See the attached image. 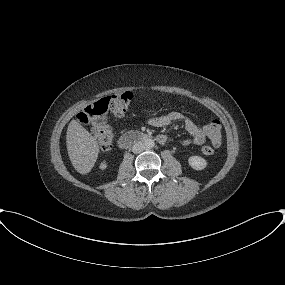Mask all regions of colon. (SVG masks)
Instances as JSON below:
<instances>
[{
	"instance_id": "5ec220e1",
	"label": "colon",
	"mask_w": 285,
	"mask_h": 285,
	"mask_svg": "<svg viewBox=\"0 0 285 285\" xmlns=\"http://www.w3.org/2000/svg\"><path fill=\"white\" fill-rule=\"evenodd\" d=\"M132 98L133 95L130 92L110 95L88 105L78 114V120L85 125L91 126L94 130L102 152L109 151L114 140L113 132L108 125L109 115H124L129 109ZM204 130L212 146L205 145L202 152L204 155L209 156L214 154L215 147L221 144V125L217 120H210L204 125Z\"/></svg>"
}]
</instances>
